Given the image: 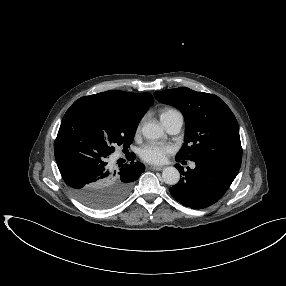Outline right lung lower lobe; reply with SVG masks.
Segmentation results:
<instances>
[{
  "mask_svg": "<svg viewBox=\"0 0 286 286\" xmlns=\"http://www.w3.org/2000/svg\"><path fill=\"white\" fill-rule=\"evenodd\" d=\"M54 153L62 178L74 196L95 209L111 208L123 201L145 170L142 163L133 162V153L130 164L112 170L109 154L64 123L58 131Z\"/></svg>",
  "mask_w": 286,
  "mask_h": 286,
  "instance_id": "right-lung-lower-lobe-1",
  "label": "right lung lower lobe"
}]
</instances>
